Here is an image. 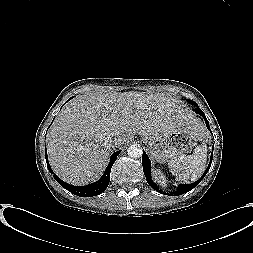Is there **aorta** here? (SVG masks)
<instances>
[{
	"mask_svg": "<svg viewBox=\"0 0 253 253\" xmlns=\"http://www.w3.org/2000/svg\"><path fill=\"white\" fill-rule=\"evenodd\" d=\"M142 153V148L139 144H133L127 149V154L131 158H139Z\"/></svg>",
	"mask_w": 253,
	"mask_h": 253,
	"instance_id": "obj_1",
	"label": "aorta"
}]
</instances>
